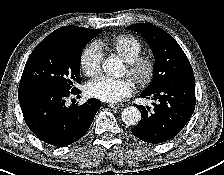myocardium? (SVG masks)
Listing matches in <instances>:
<instances>
[{
    "mask_svg": "<svg viewBox=\"0 0 224 175\" xmlns=\"http://www.w3.org/2000/svg\"><path fill=\"white\" fill-rule=\"evenodd\" d=\"M156 70L155 60L150 56H139L131 62H127L128 75L140 86L151 82Z\"/></svg>",
    "mask_w": 224,
    "mask_h": 175,
    "instance_id": "f54148a6",
    "label": "myocardium"
}]
</instances>
